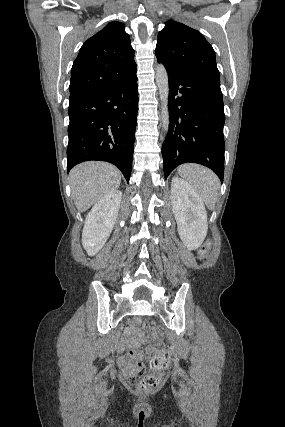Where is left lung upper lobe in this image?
Segmentation results:
<instances>
[{
  "label": "left lung upper lobe",
  "instance_id": "1",
  "mask_svg": "<svg viewBox=\"0 0 285 427\" xmlns=\"http://www.w3.org/2000/svg\"><path fill=\"white\" fill-rule=\"evenodd\" d=\"M155 54L168 70L220 80L212 46L200 32L182 23H166L158 34Z\"/></svg>",
  "mask_w": 285,
  "mask_h": 427
}]
</instances>
